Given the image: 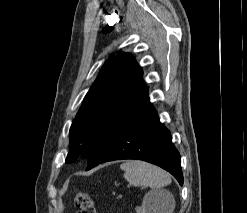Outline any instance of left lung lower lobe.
<instances>
[{
  "label": "left lung lower lobe",
  "instance_id": "obj_1",
  "mask_svg": "<svg viewBox=\"0 0 247 213\" xmlns=\"http://www.w3.org/2000/svg\"><path fill=\"white\" fill-rule=\"evenodd\" d=\"M138 159L158 165L183 184L180 154L171 141L170 131L159 121L149 101L148 89L100 137L86 170L107 161Z\"/></svg>",
  "mask_w": 247,
  "mask_h": 213
}]
</instances>
